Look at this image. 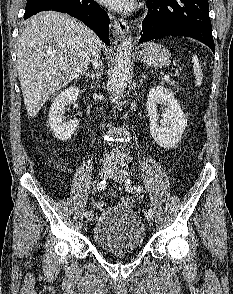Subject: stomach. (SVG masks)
<instances>
[{
	"instance_id": "1",
	"label": "stomach",
	"mask_w": 233,
	"mask_h": 294,
	"mask_svg": "<svg viewBox=\"0 0 233 294\" xmlns=\"http://www.w3.org/2000/svg\"><path fill=\"white\" fill-rule=\"evenodd\" d=\"M138 58L143 63L156 68L166 67L171 62V53L163 45L156 42L144 44L138 52Z\"/></svg>"
}]
</instances>
